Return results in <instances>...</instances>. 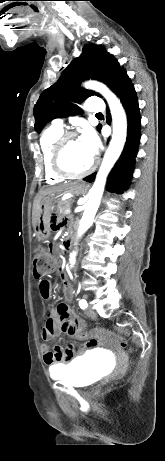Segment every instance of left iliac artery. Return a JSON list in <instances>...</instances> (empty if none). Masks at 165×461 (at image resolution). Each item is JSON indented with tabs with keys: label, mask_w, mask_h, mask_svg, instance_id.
<instances>
[{
	"label": "left iliac artery",
	"mask_w": 165,
	"mask_h": 461,
	"mask_svg": "<svg viewBox=\"0 0 165 461\" xmlns=\"http://www.w3.org/2000/svg\"><path fill=\"white\" fill-rule=\"evenodd\" d=\"M79 306H80L82 309H85V308L87 307V302H86V300H84V299L80 300Z\"/></svg>",
	"instance_id": "1"
}]
</instances>
